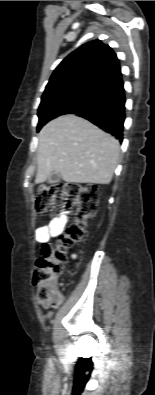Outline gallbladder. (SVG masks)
Returning a JSON list of instances; mask_svg holds the SVG:
<instances>
[{"label": "gallbladder", "instance_id": "bac80fb5", "mask_svg": "<svg viewBox=\"0 0 155 395\" xmlns=\"http://www.w3.org/2000/svg\"><path fill=\"white\" fill-rule=\"evenodd\" d=\"M61 180V176L55 172H51L49 176L47 177V182L50 184H56L59 183Z\"/></svg>", "mask_w": 155, "mask_h": 395}]
</instances>
